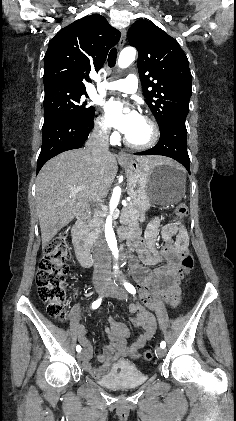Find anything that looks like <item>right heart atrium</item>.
Here are the masks:
<instances>
[{
	"mask_svg": "<svg viewBox=\"0 0 236 421\" xmlns=\"http://www.w3.org/2000/svg\"><path fill=\"white\" fill-rule=\"evenodd\" d=\"M94 130L102 139H113L115 134L111 131L109 121L103 114H97L94 121Z\"/></svg>",
	"mask_w": 236,
	"mask_h": 421,
	"instance_id": "1",
	"label": "right heart atrium"
}]
</instances>
